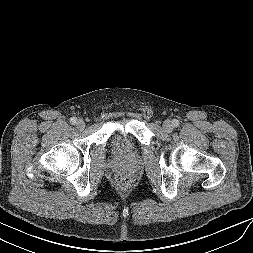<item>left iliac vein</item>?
I'll return each instance as SVG.
<instances>
[{"mask_svg":"<svg viewBox=\"0 0 253 253\" xmlns=\"http://www.w3.org/2000/svg\"><path fill=\"white\" fill-rule=\"evenodd\" d=\"M163 129L166 131V132H171L173 130V124L171 123V121L169 120H165L163 122Z\"/></svg>","mask_w":253,"mask_h":253,"instance_id":"4c4485c4","label":"left iliac vein"}]
</instances>
